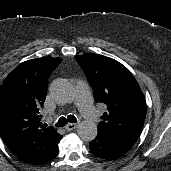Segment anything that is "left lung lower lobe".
<instances>
[{
    "mask_svg": "<svg viewBox=\"0 0 171 171\" xmlns=\"http://www.w3.org/2000/svg\"><path fill=\"white\" fill-rule=\"evenodd\" d=\"M89 147L93 155L106 160L119 158L131 149V147L100 132H98L97 137L90 142Z\"/></svg>",
    "mask_w": 171,
    "mask_h": 171,
    "instance_id": "0a47b994",
    "label": "left lung lower lobe"
}]
</instances>
